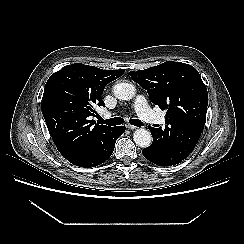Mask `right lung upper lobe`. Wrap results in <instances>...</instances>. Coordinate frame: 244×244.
<instances>
[{
	"mask_svg": "<svg viewBox=\"0 0 244 244\" xmlns=\"http://www.w3.org/2000/svg\"><path fill=\"white\" fill-rule=\"evenodd\" d=\"M124 72L75 63L50 76L41 109L50 135L65 158L95 149L114 128L95 124L90 118L95 116L94 106L104 105V87Z\"/></svg>",
	"mask_w": 244,
	"mask_h": 244,
	"instance_id": "cb5924a9",
	"label": "right lung upper lobe"
}]
</instances>
